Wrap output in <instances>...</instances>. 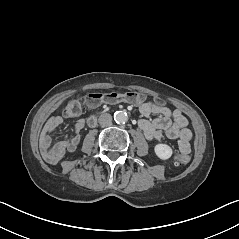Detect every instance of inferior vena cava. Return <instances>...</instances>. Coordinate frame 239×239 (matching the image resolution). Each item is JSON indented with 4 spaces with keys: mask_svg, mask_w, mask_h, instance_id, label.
I'll return each mask as SVG.
<instances>
[{
    "mask_svg": "<svg viewBox=\"0 0 239 239\" xmlns=\"http://www.w3.org/2000/svg\"><path fill=\"white\" fill-rule=\"evenodd\" d=\"M98 122L103 126H109L112 122V116L109 113L101 114Z\"/></svg>",
    "mask_w": 239,
    "mask_h": 239,
    "instance_id": "1",
    "label": "inferior vena cava"
}]
</instances>
